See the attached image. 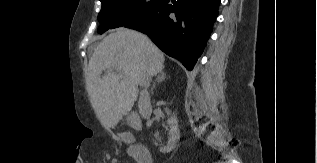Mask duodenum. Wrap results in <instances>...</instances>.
<instances>
[{"label":"duodenum","mask_w":317,"mask_h":163,"mask_svg":"<svg viewBox=\"0 0 317 163\" xmlns=\"http://www.w3.org/2000/svg\"><path fill=\"white\" fill-rule=\"evenodd\" d=\"M127 121L130 127H132L135 130H139L141 128V119L140 116L137 113L131 112L127 115ZM136 155L143 157L147 156L149 151L147 147L141 144H136L132 146Z\"/></svg>","instance_id":"410a0bca"}]
</instances>
